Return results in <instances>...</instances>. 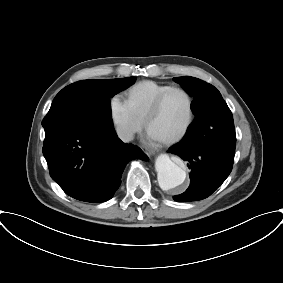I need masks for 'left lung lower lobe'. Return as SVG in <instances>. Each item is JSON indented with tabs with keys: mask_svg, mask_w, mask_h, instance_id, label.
I'll return each mask as SVG.
<instances>
[{
	"mask_svg": "<svg viewBox=\"0 0 283 283\" xmlns=\"http://www.w3.org/2000/svg\"><path fill=\"white\" fill-rule=\"evenodd\" d=\"M213 109L221 111L225 101L216 100ZM199 115L189 127L181 142L169 151L187 162L191 169L190 186L175 201H197L211 195L228 177L232 170L235 147L211 143L205 133L209 117L207 112Z\"/></svg>",
	"mask_w": 283,
	"mask_h": 283,
	"instance_id": "1",
	"label": "left lung lower lobe"
}]
</instances>
